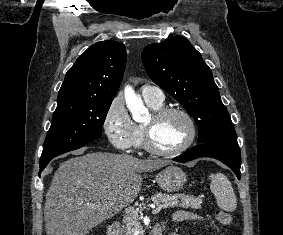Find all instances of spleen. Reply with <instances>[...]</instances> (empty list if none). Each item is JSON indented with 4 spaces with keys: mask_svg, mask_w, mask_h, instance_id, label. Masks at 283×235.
<instances>
[{
    "mask_svg": "<svg viewBox=\"0 0 283 235\" xmlns=\"http://www.w3.org/2000/svg\"><path fill=\"white\" fill-rule=\"evenodd\" d=\"M209 179L211 180L210 190L214 194L219 208L233 212L237 207V199L228 178L222 173H217L211 174Z\"/></svg>",
    "mask_w": 283,
    "mask_h": 235,
    "instance_id": "obj_1",
    "label": "spleen"
}]
</instances>
